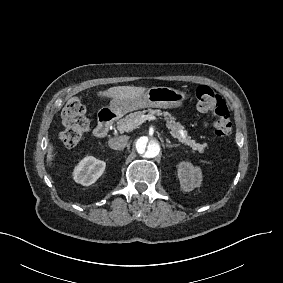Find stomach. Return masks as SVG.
Masks as SVG:
<instances>
[{
    "label": "stomach",
    "instance_id": "1",
    "mask_svg": "<svg viewBox=\"0 0 283 283\" xmlns=\"http://www.w3.org/2000/svg\"><path fill=\"white\" fill-rule=\"evenodd\" d=\"M185 93L169 87H152L134 98H113L109 109L118 118L128 112L144 108H176L182 105Z\"/></svg>",
    "mask_w": 283,
    "mask_h": 283
}]
</instances>
